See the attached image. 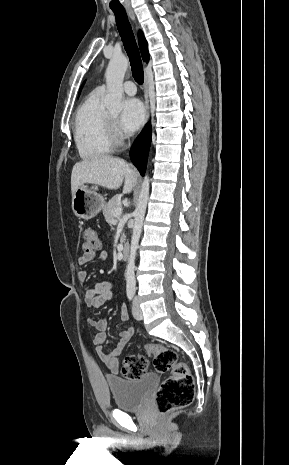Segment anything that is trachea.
Instances as JSON below:
<instances>
[{
    "label": "trachea",
    "mask_w": 289,
    "mask_h": 465,
    "mask_svg": "<svg viewBox=\"0 0 289 465\" xmlns=\"http://www.w3.org/2000/svg\"><path fill=\"white\" fill-rule=\"evenodd\" d=\"M113 12L116 17L118 31L130 60L133 78L141 85L144 81L143 65L127 14L124 9H113Z\"/></svg>",
    "instance_id": "3493384b"
}]
</instances>
